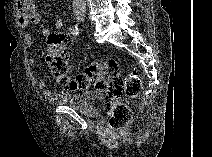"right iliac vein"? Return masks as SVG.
<instances>
[{
    "label": "right iliac vein",
    "mask_w": 212,
    "mask_h": 157,
    "mask_svg": "<svg viewBox=\"0 0 212 157\" xmlns=\"http://www.w3.org/2000/svg\"><path fill=\"white\" fill-rule=\"evenodd\" d=\"M77 19H78V21L83 22L85 20V15L84 14H78Z\"/></svg>",
    "instance_id": "1"
}]
</instances>
